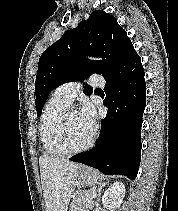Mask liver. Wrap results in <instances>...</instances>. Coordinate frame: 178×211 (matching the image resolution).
<instances>
[{
    "instance_id": "1",
    "label": "liver",
    "mask_w": 178,
    "mask_h": 211,
    "mask_svg": "<svg viewBox=\"0 0 178 211\" xmlns=\"http://www.w3.org/2000/svg\"><path fill=\"white\" fill-rule=\"evenodd\" d=\"M43 197L47 211H67L77 181L79 164L43 154L39 158Z\"/></svg>"
}]
</instances>
